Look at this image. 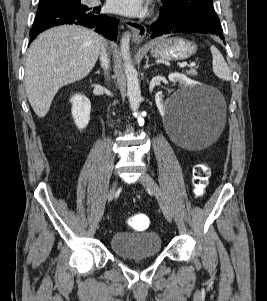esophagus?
Masks as SVG:
<instances>
[{
	"mask_svg": "<svg viewBox=\"0 0 267 301\" xmlns=\"http://www.w3.org/2000/svg\"><path fill=\"white\" fill-rule=\"evenodd\" d=\"M125 23L133 33L132 41L135 43H140L144 39L147 33L145 26H143L139 22L130 21V20H126Z\"/></svg>",
	"mask_w": 267,
	"mask_h": 301,
	"instance_id": "1",
	"label": "esophagus"
}]
</instances>
